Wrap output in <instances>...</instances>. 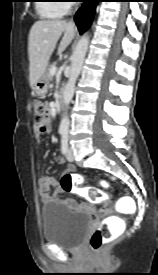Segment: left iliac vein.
Returning <instances> with one entry per match:
<instances>
[{
	"mask_svg": "<svg viewBox=\"0 0 158 275\" xmlns=\"http://www.w3.org/2000/svg\"><path fill=\"white\" fill-rule=\"evenodd\" d=\"M66 158L68 161L73 162L74 161V154H73V149L71 147H69L67 149V153H66Z\"/></svg>",
	"mask_w": 158,
	"mask_h": 275,
	"instance_id": "left-iliac-vein-1",
	"label": "left iliac vein"
}]
</instances>
